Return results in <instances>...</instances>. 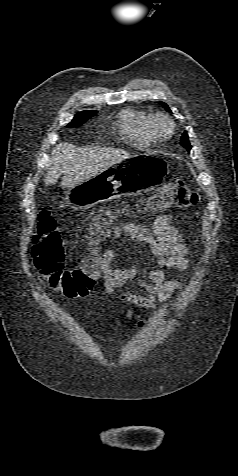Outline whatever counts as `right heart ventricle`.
Here are the masks:
<instances>
[{"mask_svg": "<svg viewBox=\"0 0 238 476\" xmlns=\"http://www.w3.org/2000/svg\"><path fill=\"white\" fill-rule=\"evenodd\" d=\"M150 115L136 109H125L120 114L119 126L129 142L139 147H149L156 143L149 120Z\"/></svg>", "mask_w": 238, "mask_h": 476, "instance_id": "obj_1", "label": "right heart ventricle"}]
</instances>
